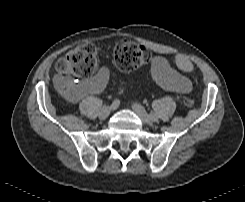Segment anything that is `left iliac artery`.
Segmentation results:
<instances>
[{
	"label": "left iliac artery",
	"instance_id": "left-iliac-artery-1",
	"mask_svg": "<svg viewBox=\"0 0 245 202\" xmlns=\"http://www.w3.org/2000/svg\"><path fill=\"white\" fill-rule=\"evenodd\" d=\"M151 118L154 119L155 115L153 113L150 114Z\"/></svg>",
	"mask_w": 245,
	"mask_h": 202
}]
</instances>
